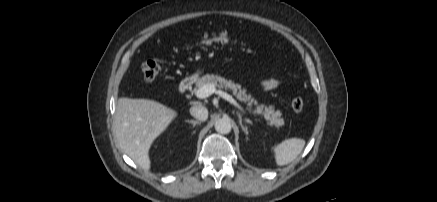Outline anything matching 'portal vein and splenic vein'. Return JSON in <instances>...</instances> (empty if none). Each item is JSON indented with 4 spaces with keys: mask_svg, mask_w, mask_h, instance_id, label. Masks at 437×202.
Returning <instances> with one entry per match:
<instances>
[{
    "mask_svg": "<svg viewBox=\"0 0 437 202\" xmlns=\"http://www.w3.org/2000/svg\"><path fill=\"white\" fill-rule=\"evenodd\" d=\"M213 93H217L219 96H221L222 98H224L225 100H227L228 102H230L231 104H233L234 106L239 108L240 110H243L241 108V106L237 103V101L231 95H229L226 92H223L221 90H216V88L211 84H207V85L202 86L201 88H199L196 91L195 94H196L197 98L204 99V98L209 97Z\"/></svg>",
    "mask_w": 437,
    "mask_h": 202,
    "instance_id": "obj_1",
    "label": "portal vein and splenic vein"
}]
</instances>
